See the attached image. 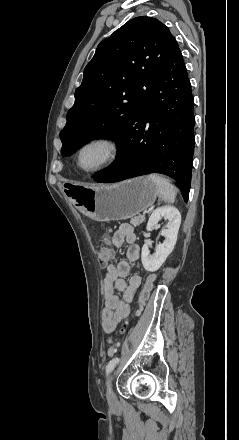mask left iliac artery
Here are the masks:
<instances>
[{"mask_svg":"<svg viewBox=\"0 0 239 440\" xmlns=\"http://www.w3.org/2000/svg\"><path fill=\"white\" fill-rule=\"evenodd\" d=\"M120 359L119 358H113L112 360L109 361V363L106 366V375L108 376L112 370L116 367V365L119 363Z\"/></svg>","mask_w":239,"mask_h":440,"instance_id":"44dca946","label":"left iliac artery"}]
</instances>
